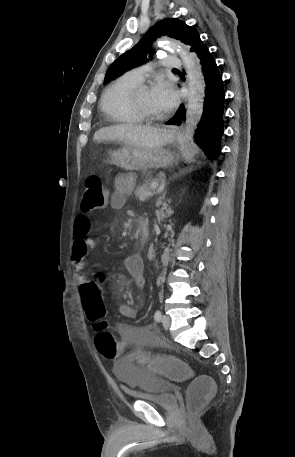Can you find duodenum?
Here are the masks:
<instances>
[{"mask_svg": "<svg viewBox=\"0 0 295 457\" xmlns=\"http://www.w3.org/2000/svg\"><path fill=\"white\" fill-rule=\"evenodd\" d=\"M138 228L140 232L141 241L145 242L150 234L149 226L144 219L138 220Z\"/></svg>", "mask_w": 295, "mask_h": 457, "instance_id": "duodenum-1", "label": "duodenum"}]
</instances>
